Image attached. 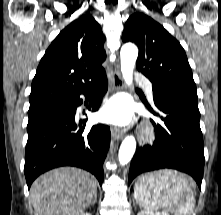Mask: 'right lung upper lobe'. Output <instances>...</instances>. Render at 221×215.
<instances>
[{"instance_id":"cb5924a9","label":"right lung upper lobe","mask_w":221,"mask_h":215,"mask_svg":"<svg viewBox=\"0 0 221 215\" xmlns=\"http://www.w3.org/2000/svg\"><path fill=\"white\" fill-rule=\"evenodd\" d=\"M105 36L91 15H82L65 27L41 59L32 81L29 110L78 95L96 85L105 70Z\"/></svg>"}]
</instances>
